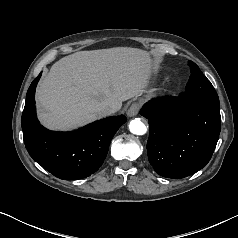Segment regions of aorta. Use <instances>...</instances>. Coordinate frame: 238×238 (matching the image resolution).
<instances>
[{
  "mask_svg": "<svg viewBox=\"0 0 238 238\" xmlns=\"http://www.w3.org/2000/svg\"><path fill=\"white\" fill-rule=\"evenodd\" d=\"M129 130L135 135H144L147 132V127L139 118H135L130 121Z\"/></svg>",
  "mask_w": 238,
  "mask_h": 238,
  "instance_id": "1",
  "label": "aorta"
}]
</instances>
